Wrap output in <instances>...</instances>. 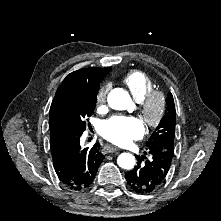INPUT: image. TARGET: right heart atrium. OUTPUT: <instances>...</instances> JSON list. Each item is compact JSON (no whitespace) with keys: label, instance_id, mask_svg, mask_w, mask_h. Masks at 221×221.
Wrapping results in <instances>:
<instances>
[{"label":"right heart atrium","instance_id":"1","mask_svg":"<svg viewBox=\"0 0 221 221\" xmlns=\"http://www.w3.org/2000/svg\"><path fill=\"white\" fill-rule=\"evenodd\" d=\"M109 90H110V84H105L99 88L96 95L97 106H102L106 103Z\"/></svg>","mask_w":221,"mask_h":221}]
</instances>
